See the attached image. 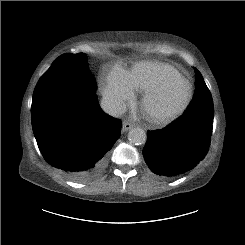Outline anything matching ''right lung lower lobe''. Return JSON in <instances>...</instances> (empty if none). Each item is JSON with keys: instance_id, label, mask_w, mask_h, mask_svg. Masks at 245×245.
I'll return each instance as SVG.
<instances>
[{"instance_id": "obj_1", "label": "right lung lower lobe", "mask_w": 245, "mask_h": 245, "mask_svg": "<svg viewBox=\"0 0 245 245\" xmlns=\"http://www.w3.org/2000/svg\"><path fill=\"white\" fill-rule=\"evenodd\" d=\"M31 111L39 150L51 166L76 182L104 171L121 120L102 113L95 93L65 95Z\"/></svg>"}]
</instances>
